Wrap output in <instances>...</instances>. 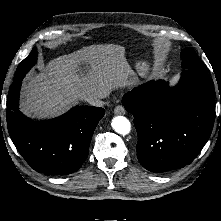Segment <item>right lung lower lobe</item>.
Returning <instances> with one entry per match:
<instances>
[{"label":"right lung lower lobe","mask_w":221,"mask_h":221,"mask_svg":"<svg viewBox=\"0 0 221 221\" xmlns=\"http://www.w3.org/2000/svg\"><path fill=\"white\" fill-rule=\"evenodd\" d=\"M22 79L14 81L7 99V127L19 153L37 172L67 175L86 160L103 108L76 106L64 115L36 122L18 109Z\"/></svg>","instance_id":"98d812e1"}]
</instances>
